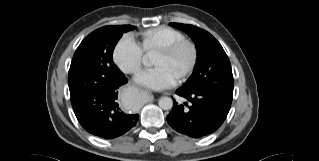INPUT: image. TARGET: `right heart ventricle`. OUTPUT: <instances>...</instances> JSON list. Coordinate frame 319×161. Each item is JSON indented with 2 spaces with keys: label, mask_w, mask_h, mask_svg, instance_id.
Here are the masks:
<instances>
[{
  "label": "right heart ventricle",
  "mask_w": 319,
  "mask_h": 161,
  "mask_svg": "<svg viewBox=\"0 0 319 161\" xmlns=\"http://www.w3.org/2000/svg\"><path fill=\"white\" fill-rule=\"evenodd\" d=\"M184 38V34L167 25L148 29L141 34L140 46L146 54L156 53L163 46Z\"/></svg>",
  "instance_id": "1"
}]
</instances>
